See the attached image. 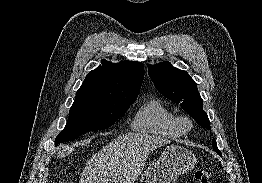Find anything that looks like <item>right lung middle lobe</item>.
<instances>
[{
	"label": "right lung middle lobe",
	"mask_w": 262,
	"mask_h": 183,
	"mask_svg": "<svg viewBox=\"0 0 262 183\" xmlns=\"http://www.w3.org/2000/svg\"><path fill=\"white\" fill-rule=\"evenodd\" d=\"M135 99L108 100L95 97H76L69 119L55 144L69 142L85 132L107 129L122 117Z\"/></svg>",
	"instance_id": "right-lung-middle-lobe-1"
}]
</instances>
